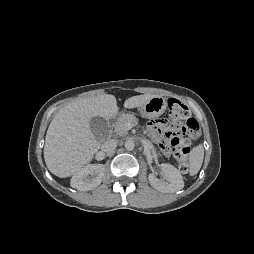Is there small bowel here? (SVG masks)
Returning <instances> with one entry per match:
<instances>
[{"label": "small bowel", "mask_w": 254, "mask_h": 254, "mask_svg": "<svg viewBox=\"0 0 254 254\" xmlns=\"http://www.w3.org/2000/svg\"><path fill=\"white\" fill-rule=\"evenodd\" d=\"M174 126L166 123L163 119H157L148 124V129L151 132L153 139L158 142L166 155L169 154L167 142L163 133L167 129H172Z\"/></svg>", "instance_id": "small-bowel-1"}]
</instances>
